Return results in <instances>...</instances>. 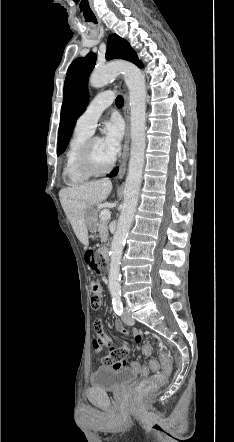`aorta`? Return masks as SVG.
<instances>
[{"label": "aorta", "mask_w": 234, "mask_h": 442, "mask_svg": "<svg viewBox=\"0 0 234 442\" xmlns=\"http://www.w3.org/2000/svg\"><path fill=\"white\" fill-rule=\"evenodd\" d=\"M123 74L129 89L131 148L128 174L124 186V201L110 248L109 291L119 295L120 261L134 218L139 199L146 148V84L141 70L134 64L120 61L95 69L89 77V85L101 88Z\"/></svg>", "instance_id": "1"}]
</instances>
